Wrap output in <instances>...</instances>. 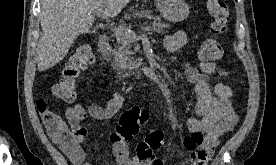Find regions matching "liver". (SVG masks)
Wrapping results in <instances>:
<instances>
[{
    "instance_id": "obj_1",
    "label": "liver",
    "mask_w": 276,
    "mask_h": 165,
    "mask_svg": "<svg viewBox=\"0 0 276 165\" xmlns=\"http://www.w3.org/2000/svg\"><path fill=\"white\" fill-rule=\"evenodd\" d=\"M130 0H42V37L37 52L38 70L45 71L67 55L76 38L90 30L94 15L116 17Z\"/></svg>"
}]
</instances>
